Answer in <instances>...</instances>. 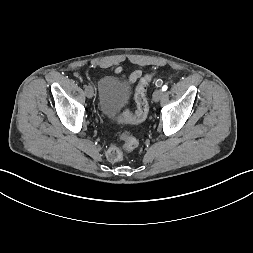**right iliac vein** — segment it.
Instances as JSON below:
<instances>
[{"mask_svg":"<svg viewBox=\"0 0 253 253\" xmlns=\"http://www.w3.org/2000/svg\"><path fill=\"white\" fill-rule=\"evenodd\" d=\"M85 95L88 97V98H92L93 95H94V90L91 86H87L85 88Z\"/></svg>","mask_w":253,"mask_h":253,"instance_id":"1","label":"right iliac vein"}]
</instances>
